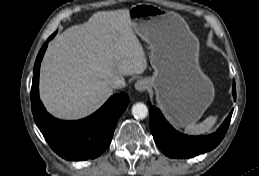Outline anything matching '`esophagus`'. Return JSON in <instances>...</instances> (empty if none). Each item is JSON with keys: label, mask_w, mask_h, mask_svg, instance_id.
<instances>
[{"label": "esophagus", "mask_w": 259, "mask_h": 176, "mask_svg": "<svg viewBox=\"0 0 259 176\" xmlns=\"http://www.w3.org/2000/svg\"><path fill=\"white\" fill-rule=\"evenodd\" d=\"M148 87V82L146 80H138L136 83H135V89L137 91H144L146 90Z\"/></svg>", "instance_id": "esophagus-1"}]
</instances>
